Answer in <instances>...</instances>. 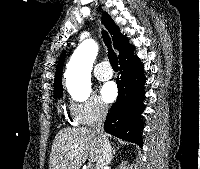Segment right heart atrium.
<instances>
[{"label": "right heart atrium", "mask_w": 200, "mask_h": 169, "mask_svg": "<svg viewBox=\"0 0 200 169\" xmlns=\"http://www.w3.org/2000/svg\"><path fill=\"white\" fill-rule=\"evenodd\" d=\"M108 106L97 96H90L83 101H71L69 105L70 120L79 126L91 125L104 119Z\"/></svg>", "instance_id": "1"}]
</instances>
